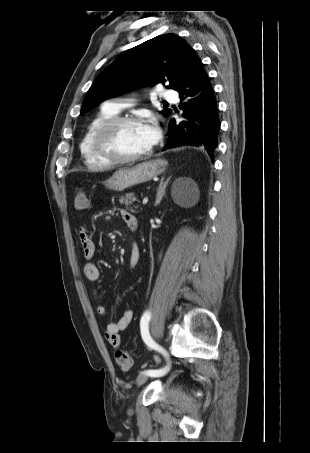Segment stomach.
Segmentation results:
<instances>
[{"label": "stomach", "instance_id": "stomach-1", "mask_svg": "<svg viewBox=\"0 0 310 453\" xmlns=\"http://www.w3.org/2000/svg\"><path fill=\"white\" fill-rule=\"evenodd\" d=\"M167 164L164 159H155L139 163L130 168H121L105 182V186L111 190L123 191L160 175L164 172Z\"/></svg>", "mask_w": 310, "mask_h": 453}]
</instances>
